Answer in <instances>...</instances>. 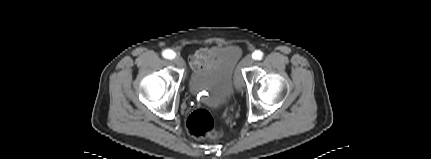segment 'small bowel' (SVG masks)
Returning <instances> with one entry per match:
<instances>
[{
	"label": "small bowel",
	"mask_w": 431,
	"mask_h": 159,
	"mask_svg": "<svg viewBox=\"0 0 431 159\" xmlns=\"http://www.w3.org/2000/svg\"><path fill=\"white\" fill-rule=\"evenodd\" d=\"M215 48H202L193 53L190 57V65L193 69H203L215 59Z\"/></svg>",
	"instance_id": "c3829d8e"
}]
</instances>
